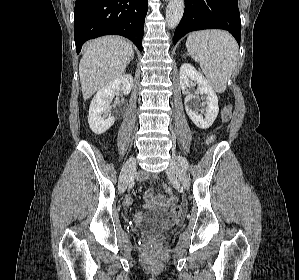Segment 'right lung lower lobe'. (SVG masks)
I'll return each mask as SVG.
<instances>
[{
  "label": "right lung lower lobe",
  "instance_id": "1",
  "mask_svg": "<svg viewBox=\"0 0 299 280\" xmlns=\"http://www.w3.org/2000/svg\"><path fill=\"white\" fill-rule=\"evenodd\" d=\"M147 0H76L74 38L76 51L89 39L121 35L142 51Z\"/></svg>",
  "mask_w": 299,
  "mask_h": 280
}]
</instances>
